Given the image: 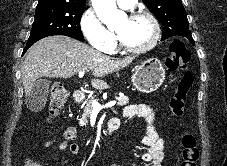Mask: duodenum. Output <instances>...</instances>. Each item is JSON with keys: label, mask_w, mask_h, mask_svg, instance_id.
I'll use <instances>...</instances> for the list:
<instances>
[{"label": "duodenum", "mask_w": 227, "mask_h": 166, "mask_svg": "<svg viewBox=\"0 0 227 166\" xmlns=\"http://www.w3.org/2000/svg\"><path fill=\"white\" fill-rule=\"evenodd\" d=\"M85 100V97L81 91H76L74 94V102L80 104ZM117 120L115 118L110 119L108 123V131L113 132L117 128Z\"/></svg>", "instance_id": "1"}]
</instances>
